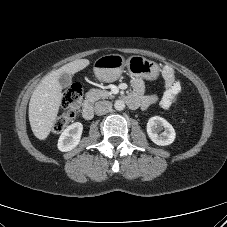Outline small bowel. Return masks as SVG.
I'll list each match as a JSON object with an SVG mask.
<instances>
[{
    "mask_svg": "<svg viewBox=\"0 0 227 227\" xmlns=\"http://www.w3.org/2000/svg\"><path fill=\"white\" fill-rule=\"evenodd\" d=\"M163 78L165 80L166 89L160 99L154 94L145 93V85L140 79L132 80L133 94L130 95L135 103L136 107H141L143 109L149 107L150 105L159 101V105L163 109H168L172 106L178 99L181 92V84L175 80L174 72L171 68L165 67L163 69ZM135 107V108H136Z\"/></svg>",
    "mask_w": 227,
    "mask_h": 227,
    "instance_id": "c3829d8e",
    "label": "small bowel"
}]
</instances>
